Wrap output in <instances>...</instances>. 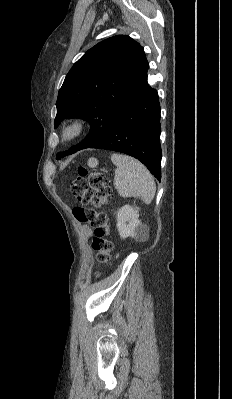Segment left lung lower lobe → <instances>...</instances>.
I'll list each match as a JSON object with an SVG mask.
<instances>
[{
  "mask_svg": "<svg viewBox=\"0 0 232 399\" xmlns=\"http://www.w3.org/2000/svg\"><path fill=\"white\" fill-rule=\"evenodd\" d=\"M137 91L107 134L90 148L122 152L141 161L161 179L160 105L158 93L147 82V71Z\"/></svg>",
  "mask_w": 232,
  "mask_h": 399,
  "instance_id": "0a47b994",
  "label": "left lung lower lobe"
}]
</instances>
